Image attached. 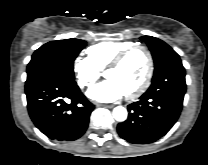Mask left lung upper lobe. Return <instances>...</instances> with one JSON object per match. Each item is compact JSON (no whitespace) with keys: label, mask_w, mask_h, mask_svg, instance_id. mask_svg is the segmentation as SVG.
Returning a JSON list of instances; mask_svg holds the SVG:
<instances>
[{"label":"left lung upper lobe","mask_w":208,"mask_h":165,"mask_svg":"<svg viewBox=\"0 0 208 165\" xmlns=\"http://www.w3.org/2000/svg\"><path fill=\"white\" fill-rule=\"evenodd\" d=\"M140 39L147 43L153 56L155 65L153 79L171 70L184 69L179 55L165 42L151 36H143Z\"/></svg>","instance_id":"1"}]
</instances>
